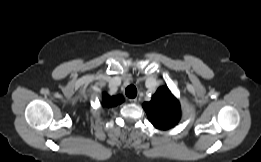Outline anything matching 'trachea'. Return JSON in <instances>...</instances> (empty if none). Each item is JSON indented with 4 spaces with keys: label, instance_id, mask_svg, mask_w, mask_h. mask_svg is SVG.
<instances>
[{
    "label": "trachea",
    "instance_id": "trachea-1",
    "mask_svg": "<svg viewBox=\"0 0 261 162\" xmlns=\"http://www.w3.org/2000/svg\"><path fill=\"white\" fill-rule=\"evenodd\" d=\"M125 94L129 98H135L137 95V89L135 86L130 85L125 89Z\"/></svg>",
    "mask_w": 261,
    "mask_h": 162
}]
</instances>
